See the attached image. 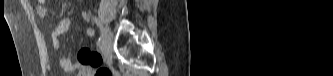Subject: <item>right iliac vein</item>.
I'll return each instance as SVG.
<instances>
[{
  "instance_id": "obj_1",
  "label": "right iliac vein",
  "mask_w": 333,
  "mask_h": 76,
  "mask_svg": "<svg viewBox=\"0 0 333 76\" xmlns=\"http://www.w3.org/2000/svg\"><path fill=\"white\" fill-rule=\"evenodd\" d=\"M102 38L105 53L108 55L111 52L113 44V34L108 27L102 28Z\"/></svg>"
}]
</instances>
